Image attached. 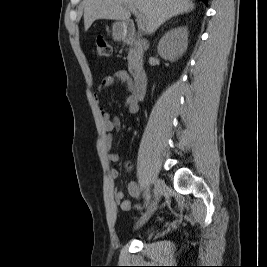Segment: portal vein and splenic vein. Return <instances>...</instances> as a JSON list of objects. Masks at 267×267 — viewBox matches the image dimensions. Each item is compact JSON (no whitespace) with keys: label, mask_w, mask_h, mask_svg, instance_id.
Wrapping results in <instances>:
<instances>
[{"label":"portal vein and splenic vein","mask_w":267,"mask_h":267,"mask_svg":"<svg viewBox=\"0 0 267 267\" xmlns=\"http://www.w3.org/2000/svg\"><path fill=\"white\" fill-rule=\"evenodd\" d=\"M128 8L135 15L136 21L138 24V28L143 31L145 28V23H146V19H145L144 15L139 13V11L134 7H128Z\"/></svg>","instance_id":"18ae733b"}]
</instances>
